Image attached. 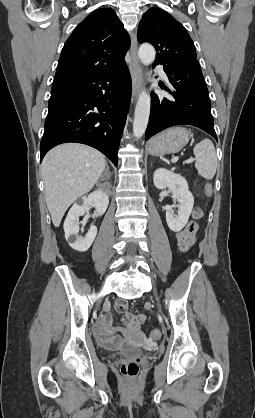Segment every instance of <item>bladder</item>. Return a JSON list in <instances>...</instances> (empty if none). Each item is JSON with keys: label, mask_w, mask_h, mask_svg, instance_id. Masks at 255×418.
Masks as SVG:
<instances>
[{"label": "bladder", "mask_w": 255, "mask_h": 418, "mask_svg": "<svg viewBox=\"0 0 255 418\" xmlns=\"http://www.w3.org/2000/svg\"><path fill=\"white\" fill-rule=\"evenodd\" d=\"M138 353H139V351L136 350V349H130V350L122 352V354H124V355H131V354H138Z\"/></svg>", "instance_id": "1"}]
</instances>
